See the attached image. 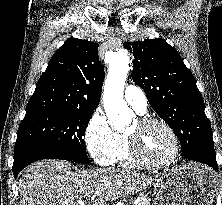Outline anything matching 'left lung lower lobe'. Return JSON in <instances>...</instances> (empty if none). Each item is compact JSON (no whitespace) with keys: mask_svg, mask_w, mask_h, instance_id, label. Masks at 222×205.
Returning a JSON list of instances; mask_svg holds the SVG:
<instances>
[{"mask_svg":"<svg viewBox=\"0 0 222 205\" xmlns=\"http://www.w3.org/2000/svg\"><path fill=\"white\" fill-rule=\"evenodd\" d=\"M184 157L191 160V161H195V162H199V163L208 165V166L212 167L215 171L218 170V165H217L216 159L204 158V157H200V156H196V155H185Z\"/></svg>","mask_w":222,"mask_h":205,"instance_id":"left-lung-lower-lobe-1","label":"left lung lower lobe"}]
</instances>
